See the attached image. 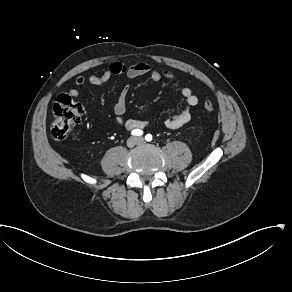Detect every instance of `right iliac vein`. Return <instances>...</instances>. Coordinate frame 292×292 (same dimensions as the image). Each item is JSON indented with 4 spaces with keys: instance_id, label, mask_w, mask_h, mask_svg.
Listing matches in <instances>:
<instances>
[{
    "instance_id": "right-iliac-vein-1",
    "label": "right iliac vein",
    "mask_w": 292,
    "mask_h": 292,
    "mask_svg": "<svg viewBox=\"0 0 292 292\" xmlns=\"http://www.w3.org/2000/svg\"><path fill=\"white\" fill-rule=\"evenodd\" d=\"M138 143V139L137 138H130L128 141H127V145L128 147L132 148L134 147L136 144Z\"/></svg>"
}]
</instances>
